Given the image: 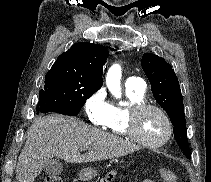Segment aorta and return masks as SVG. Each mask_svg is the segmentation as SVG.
<instances>
[{"mask_svg":"<svg viewBox=\"0 0 211 182\" xmlns=\"http://www.w3.org/2000/svg\"><path fill=\"white\" fill-rule=\"evenodd\" d=\"M121 67L118 64L113 65L106 76V85L111 94L117 98H121Z\"/></svg>","mask_w":211,"mask_h":182,"instance_id":"762f6f07","label":"aorta"}]
</instances>
